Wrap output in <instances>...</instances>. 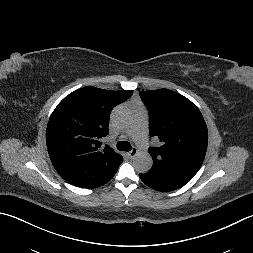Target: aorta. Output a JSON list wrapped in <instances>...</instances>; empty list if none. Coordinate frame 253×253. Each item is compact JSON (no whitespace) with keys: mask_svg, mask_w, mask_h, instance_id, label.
Returning a JSON list of instances; mask_svg holds the SVG:
<instances>
[{"mask_svg":"<svg viewBox=\"0 0 253 253\" xmlns=\"http://www.w3.org/2000/svg\"><path fill=\"white\" fill-rule=\"evenodd\" d=\"M131 112L122 107H118L112 113V120L118 126H125L131 121ZM153 165L152 157L149 154H138L133 161L134 169L138 173H147Z\"/></svg>","mask_w":253,"mask_h":253,"instance_id":"1","label":"aorta"}]
</instances>
